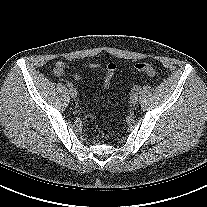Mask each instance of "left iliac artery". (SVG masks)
Wrapping results in <instances>:
<instances>
[{
  "mask_svg": "<svg viewBox=\"0 0 207 207\" xmlns=\"http://www.w3.org/2000/svg\"><path fill=\"white\" fill-rule=\"evenodd\" d=\"M138 89H139L138 86H134V87H133V90H134V91H137Z\"/></svg>",
  "mask_w": 207,
  "mask_h": 207,
  "instance_id": "obj_1",
  "label": "left iliac artery"
}]
</instances>
